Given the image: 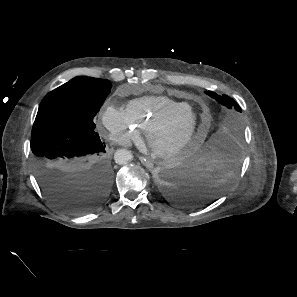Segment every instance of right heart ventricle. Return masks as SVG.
<instances>
[{"label":"right heart ventricle","instance_id":"e07e8e85","mask_svg":"<svg viewBox=\"0 0 297 297\" xmlns=\"http://www.w3.org/2000/svg\"><path fill=\"white\" fill-rule=\"evenodd\" d=\"M188 106L181 100H174L163 95L143 96L130 101L126 112L137 128L146 132L161 116L176 112Z\"/></svg>","mask_w":297,"mask_h":297}]
</instances>
